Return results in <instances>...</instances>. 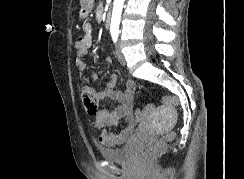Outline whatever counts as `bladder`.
I'll return each mask as SVG.
<instances>
[{
  "label": "bladder",
  "instance_id": "obj_1",
  "mask_svg": "<svg viewBox=\"0 0 244 179\" xmlns=\"http://www.w3.org/2000/svg\"><path fill=\"white\" fill-rule=\"evenodd\" d=\"M130 141L127 142L126 145L116 148H100L99 154L100 157L107 161L114 160H124L127 159L129 154L131 153Z\"/></svg>",
  "mask_w": 244,
  "mask_h": 179
}]
</instances>
